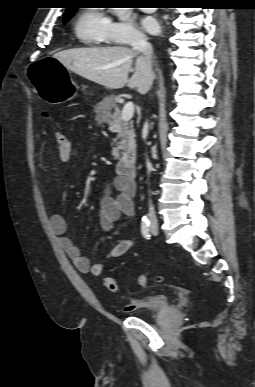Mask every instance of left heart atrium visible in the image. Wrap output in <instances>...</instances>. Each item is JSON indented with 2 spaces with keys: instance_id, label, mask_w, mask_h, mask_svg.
I'll return each instance as SVG.
<instances>
[{
  "instance_id": "obj_1",
  "label": "left heart atrium",
  "mask_w": 255,
  "mask_h": 387,
  "mask_svg": "<svg viewBox=\"0 0 255 387\" xmlns=\"http://www.w3.org/2000/svg\"><path fill=\"white\" fill-rule=\"evenodd\" d=\"M141 23L143 28L151 34H155L159 31L158 22L153 17H145L142 19Z\"/></svg>"
}]
</instances>
